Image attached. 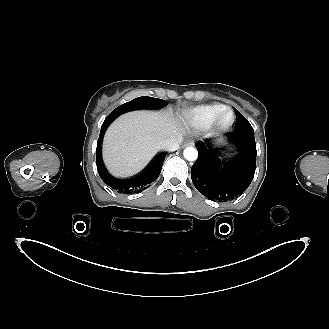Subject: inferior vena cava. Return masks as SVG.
<instances>
[{"mask_svg": "<svg viewBox=\"0 0 329 329\" xmlns=\"http://www.w3.org/2000/svg\"><path fill=\"white\" fill-rule=\"evenodd\" d=\"M181 142H182V137L169 138L161 143L160 149L167 151H175L179 148Z\"/></svg>", "mask_w": 329, "mask_h": 329, "instance_id": "inferior-vena-cava-1", "label": "inferior vena cava"}]
</instances>
